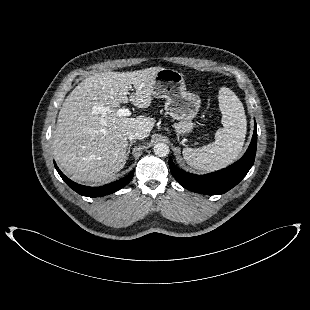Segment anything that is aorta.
Masks as SVG:
<instances>
[{
  "label": "aorta",
  "instance_id": "1",
  "mask_svg": "<svg viewBox=\"0 0 310 310\" xmlns=\"http://www.w3.org/2000/svg\"><path fill=\"white\" fill-rule=\"evenodd\" d=\"M153 149L155 155L159 157H166L169 154V146L165 143H157Z\"/></svg>",
  "mask_w": 310,
  "mask_h": 310
}]
</instances>
